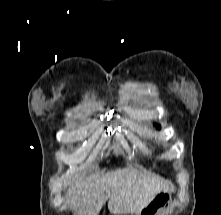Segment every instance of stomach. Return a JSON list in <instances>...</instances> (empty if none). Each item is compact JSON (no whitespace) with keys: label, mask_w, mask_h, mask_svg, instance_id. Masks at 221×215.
I'll use <instances>...</instances> for the list:
<instances>
[{"label":"stomach","mask_w":221,"mask_h":215,"mask_svg":"<svg viewBox=\"0 0 221 215\" xmlns=\"http://www.w3.org/2000/svg\"><path fill=\"white\" fill-rule=\"evenodd\" d=\"M171 192L157 193L136 215H163L171 205Z\"/></svg>","instance_id":"1"}]
</instances>
